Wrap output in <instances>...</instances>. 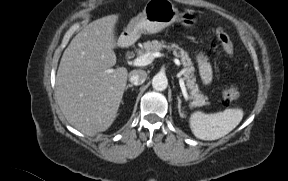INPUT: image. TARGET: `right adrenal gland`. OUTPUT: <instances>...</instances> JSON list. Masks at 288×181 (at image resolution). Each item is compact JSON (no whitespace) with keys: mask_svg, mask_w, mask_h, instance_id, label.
Returning <instances> with one entry per match:
<instances>
[{"mask_svg":"<svg viewBox=\"0 0 288 181\" xmlns=\"http://www.w3.org/2000/svg\"><path fill=\"white\" fill-rule=\"evenodd\" d=\"M129 87H134L133 84H128L126 87H125V90H127Z\"/></svg>","mask_w":288,"mask_h":181,"instance_id":"right-adrenal-gland-1","label":"right adrenal gland"}]
</instances>
